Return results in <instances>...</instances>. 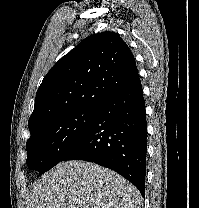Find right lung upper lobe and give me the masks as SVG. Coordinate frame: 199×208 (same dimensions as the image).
<instances>
[{
    "instance_id": "right-lung-upper-lobe-1",
    "label": "right lung upper lobe",
    "mask_w": 199,
    "mask_h": 208,
    "mask_svg": "<svg viewBox=\"0 0 199 208\" xmlns=\"http://www.w3.org/2000/svg\"><path fill=\"white\" fill-rule=\"evenodd\" d=\"M139 79L134 56L114 32L94 34L61 58L44 77L28 126L67 111L92 107Z\"/></svg>"
}]
</instances>
